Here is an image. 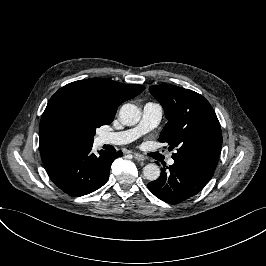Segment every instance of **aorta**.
Masks as SVG:
<instances>
[{
  "label": "aorta",
  "mask_w": 266,
  "mask_h": 266,
  "mask_svg": "<svg viewBox=\"0 0 266 266\" xmlns=\"http://www.w3.org/2000/svg\"><path fill=\"white\" fill-rule=\"evenodd\" d=\"M121 120L128 126L136 125L141 119V110L134 104H124L119 112ZM161 169L157 164H147L143 175L148 181H155L160 177Z\"/></svg>",
  "instance_id": "obj_1"
}]
</instances>
